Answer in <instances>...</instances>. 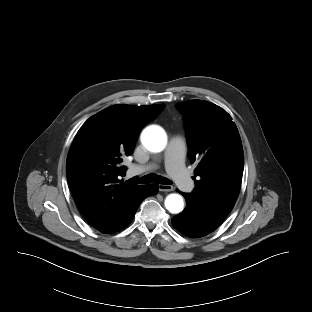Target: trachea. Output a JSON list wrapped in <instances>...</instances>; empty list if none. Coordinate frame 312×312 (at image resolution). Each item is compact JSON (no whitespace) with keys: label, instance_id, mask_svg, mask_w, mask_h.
Listing matches in <instances>:
<instances>
[{"label":"trachea","instance_id":"trachea-1","mask_svg":"<svg viewBox=\"0 0 312 312\" xmlns=\"http://www.w3.org/2000/svg\"><path fill=\"white\" fill-rule=\"evenodd\" d=\"M152 182H155L158 184H165V185L172 184V182L169 179L162 177L160 175H153V174L145 175L138 180V183L140 184H147V183H152Z\"/></svg>","mask_w":312,"mask_h":312}]
</instances>
